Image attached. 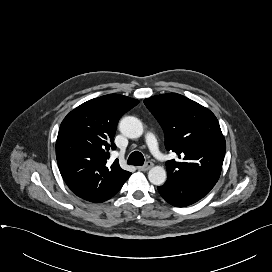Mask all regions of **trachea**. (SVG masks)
I'll return each mask as SVG.
<instances>
[{
  "label": "trachea",
  "instance_id": "1",
  "mask_svg": "<svg viewBox=\"0 0 272 272\" xmlns=\"http://www.w3.org/2000/svg\"><path fill=\"white\" fill-rule=\"evenodd\" d=\"M144 156L139 151H134L130 154L127 163L129 165L142 166L144 164Z\"/></svg>",
  "mask_w": 272,
  "mask_h": 272
}]
</instances>
